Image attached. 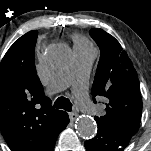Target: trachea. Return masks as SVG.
Instances as JSON below:
<instances>
[{"mask_svg":"<svg viewBox=\"0 0 151 151\" xmlns=\"http://www.w3.org/2000/svg\"><path fill=\"white\" fill-rule=\"evenodd\" d=\"M54 108L64 109L68 112L72 111V103L68 98L59 97L54 102Z\"/></svg>","mask_w":151,"mask_h":151,"instance_id":"1","label":"trachea"}]
</instances>
